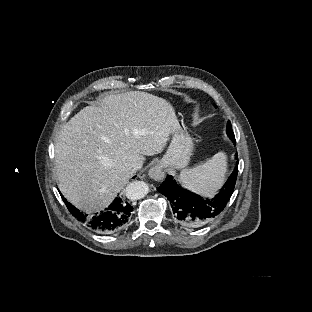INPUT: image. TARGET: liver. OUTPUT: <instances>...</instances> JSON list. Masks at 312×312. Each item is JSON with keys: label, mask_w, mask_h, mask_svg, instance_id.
Wrapping results in <instances>:
<instances>
[{"label": "liver", "mask_w": 312, "mask_h": 312, "mask_svg": "<svg viewBox=\"0 0 312 312\" xmlns=\"http://www.w3.org/2000/svg\"><path fill=\"white\" fill-rule=\"evenodd\" d=\"M181 129L165 100L132 91L106 96L63 125L55 142L59 188L83 211L109 205L137 159L162 153Z\"/></svg>", "instance_id": "1"}]
</instances>
